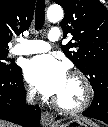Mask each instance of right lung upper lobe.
Segmentation results:
<instances>
[{"label":"right lung upper lobe","instance_id":"right-lung-upper-lobe-1","mask_svg":"<svg viewBox=\"0 0 108 127\" xmlns=\"http://www.w3.org/2000/svg\"><path fill=\"white\" fill-rule=\"evenodd\" d=\"M35 0L0 1V50H8L13 34L27 30L34 14Z\"/></svg>","mask_w":108,"mask_h":127}]
</instances>
